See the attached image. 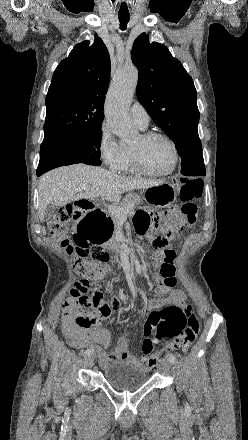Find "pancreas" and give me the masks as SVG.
Segmentation results:
<instances>
[{
    "label": "pancreas",
    "mask_w": 248,
    "mask_h": 440,
    "mask_svg": "<svg viewBox=\"0 0 248 440\" xmlns=\"http://www.w3.org/2000/svg\"><path fill=\"white\" fill-rule=\"evenodd\" d=\"M141 201H142V199L139 195L129 193L128 195H126V197L123 199V201L119 205H116V206L118 208L125 209L129 204H132L133 208H134L135 205H139L141 203ZM106 214L112 218L116 227H118L119 221H120L119 218L116 217L115 215H113L111 212H109V210H106Z\"/></svg>",
    "instance_id": "obj_1"
}]
</instances>
